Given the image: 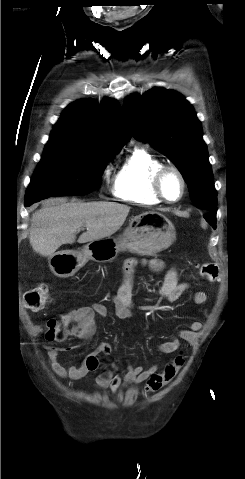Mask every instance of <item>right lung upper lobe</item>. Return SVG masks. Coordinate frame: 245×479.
<instances>
[{
    "label": "right lung upper lobe",
    "mask_w": 245,
    "mask_h": 479,
    "mask_svg": "<svg viewBox=\"0 0 245 479\" xmlns=\"http://www.w3.org/2000/svg\"><path fill=\"white\" fill-rule=\"evenodd\" d=\"M51 137L77 140L92 148L117 149L131 138L123 113L114 99L101 106L81 100L65 108Z\"/></svg>",
    "instance_id": "1"
}]
</instances>
